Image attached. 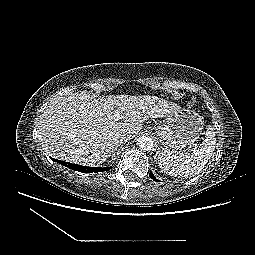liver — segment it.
Segmentation results:
<instances>
[{
  "label": "liver",
  "mask_w": 255,
  "mask_h": 255,
  "mask_svg": "<svg viewBox=\"0 0 255 255\" xmlns=\"http://www.w3.org/2000/svg\"><path fill=\"white\" fill-rule=\"evenodd\" d=\"M175 106L152 95L101 97L81 91L59 96L40 117L38 141L55 158L99 165L119 146L115 143L117 134L133 138L145 120L166 117Z\"/></svg>",
  "instance_id": "obj_1"
}]
</instances>
